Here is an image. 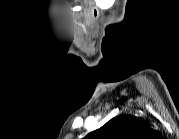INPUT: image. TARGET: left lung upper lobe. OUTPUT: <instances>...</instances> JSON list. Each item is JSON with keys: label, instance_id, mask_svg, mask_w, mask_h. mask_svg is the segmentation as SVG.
<instances>
[{"label": "left lung upper lobe", "instance_id": "1", "mask_svg": "<svg viewBox=\"0 0 179 139\" xmlns=\"http://www.w3.org/2000/svg\"><path fill=\"white\" fill-rule=\"evenodd\" d=\"M152 133L150 126L133 115H120L89 134L92 139H144Z\"/></svg>", "mask_w": 179, "mask_h": 139}]
</instances>
